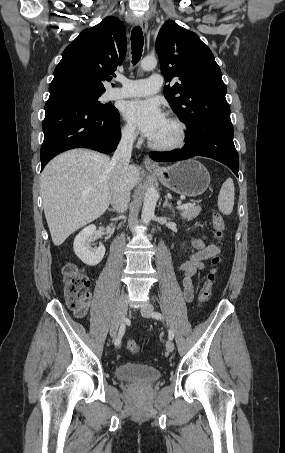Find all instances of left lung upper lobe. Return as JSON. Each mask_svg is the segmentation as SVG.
Returning <instances> with one entry per match:
<instances>
[{
  "instance_id": "left-lung-upper-lobe-1",
  "label": "left lung upper lobe",
  "mask_w": 285,
  "mask_h": 453,
  "mask_svg": "<svg viewBox=\"0 0 285 453\" xmlns=\"http://www.w3.org/2000/svg\"><path fill=\"white\" fill-rule=\"evenodd\" d=\"M156 52L165 82L179 80L165 86L164 94L186 126L211 119L231 121L221 70L197 34L167 21L157 36Z\"/></svg>"
}]
</instances>
